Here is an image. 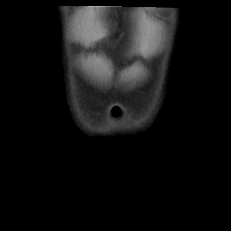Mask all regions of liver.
<instances>
[{"mask_svg":"<svg viewBox=\"0 0 231 231\" xmlns=\"http://www.w3.org/2000/svg\"><path fill=\"white\" fill-rule=\"evenodd\" d=\"M89 34V36L96 40L100 38L101 34L100 31L95 28L91 27L88 31V27L85 23V17L82 11L79 12L77 17V24H76V35L77 38H79L81 41L85 40L86 36Z\"/></svg>","mask_w":231,"mask_h":231,"instance_id":"obj_1","label":"liver"}]
</instances>
